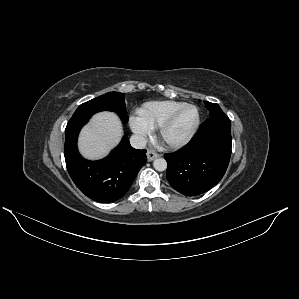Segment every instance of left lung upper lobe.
Listing matches in <instances>:
<instances>
[{
	"label": "left lung upper lobe",
	"instance_id": "1",
	"mask_svg": "<svg viewBox=\"0 0 299 299\" xmlns=\"http://www.w3.org/2000/svg\"><path fill=\"white\" fill-rule=\"evenodd\" d=\"M205 106L209 110V116H222L225 113L221 110L218 104L205 101Z\"/></svg>",
	"mask_w": 299,
	"mask_h": 299
}]
</instances>
